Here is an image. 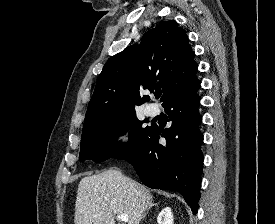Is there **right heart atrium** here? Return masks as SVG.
Returning a JSON list of instances; mask_svg holds the SVG:
<instances>
[{
    "label": "right heart atrium",
    "instance_id": "1",
    "mask_svg": "<svg viewBox=\"0 0 275 224\" xmlns=\"http://www.w3.org/2000/svg\"><path fill=\"white\" fill-rule=\"evenodd\" d=\"M117 141L120 143H124L125 142V136L122 133H119L117 135Z\"/></svg>",
    "mask_w": 275,
    "mask_h": 224
}]
</instances>
